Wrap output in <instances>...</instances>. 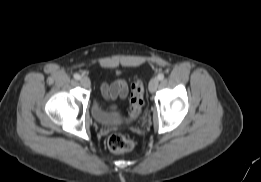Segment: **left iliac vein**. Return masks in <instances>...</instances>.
Segmentation results:
<instances>
[{"mask_svg":"<svg viewBox=\"0 0 261 182\" xmlns=\"http://www.w3.org/2000/svg\"><path fill=\"white\" fill-rule=\"evenodd\" d=\"M158 85H159V81L157 78L151 79L149 82V91L151 93H154L156 91V89L158 88Z\"/></svg>","mask_w":261,"mask_h":182,"instance_id":"4c4485c4","label":"left iliac vein"}]
</instances>
